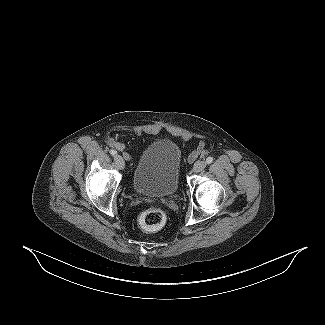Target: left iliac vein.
<instances>
[{"label":"left iliac vein","mask_w":325,"mask_h":325,"mask_svg":"<svg viewBox=\"0 0 325 325\" xmlns=\"http://www.w3.org/2000/svg\"><path fill=\"white\" fill-rule=\"evenodd\" d=\"M206 167V162L205 161H197L195 164H194V167H193V172L195 173H199L201 172L202 170H204Z\"/></svg>","instance_id":"4c4485c4"}]
</instances>
